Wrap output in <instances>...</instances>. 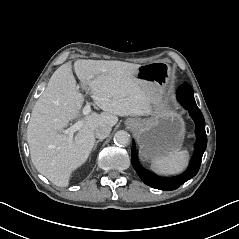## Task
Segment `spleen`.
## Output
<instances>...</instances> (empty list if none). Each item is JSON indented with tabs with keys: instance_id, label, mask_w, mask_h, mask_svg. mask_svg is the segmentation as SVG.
<instances>
[{
	"instance_id": "3e777b00",
	"label": "spleen",
	"mask_w": 239,
	"mask_h": 239,
	"mask_svg": "<svg viewBox=\"0 0 239 239\" xmlns=\"http://www.w3.org/2000/svg\"><path fill=\"white\" fill-rule=\"evenodd\" d=\"M188 163L189 153L182 150L152 162L151 169L159 175H176L185 171Z\"/></svg>"
}]
</instances>
